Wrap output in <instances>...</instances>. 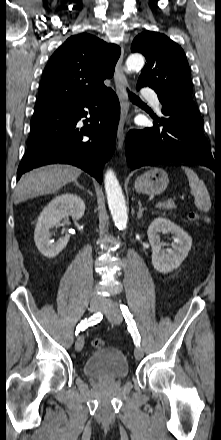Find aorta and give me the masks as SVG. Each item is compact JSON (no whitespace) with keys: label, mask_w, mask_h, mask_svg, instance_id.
<instances>
[{"label":"aorta","mask_w":221,"mask_h":440,"mask_svg":"<svg viewBox=\"0 0 221 440\" xmlns=\"http://www.w3.org/2000/svg\"><path fill=\"white\" fill-rule=\"evenodd\" d=\"M144 63L145 60L141 54H131L126 60L124 70L126 72L134 71L142 68ZM105 191L109 209L115 225L119 229H125L128 221L125 199L116 175L111 169L107 170L105 174Z\"/></svg>","instance_id":"762f6f07"}]
</instances>
